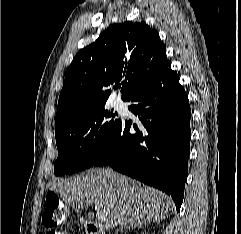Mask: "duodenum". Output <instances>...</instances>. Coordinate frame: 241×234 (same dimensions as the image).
<instances>
[{
    "label": "duodenum",
    "mask_w": 241,
    "mask_h": 234,
    "mask_svg": "<svg viewBox=\"0 0 241 234\" xmlns=\"http://www.w3.org/2000/svg\"><path fill=\"white\" fill-rule=\"evenodd\" d=\"M83 225L87 234H104L102 227L89 219H83Z\"/></svg>",
    "instance_id": "duodenum-1"
}]
</instances>
